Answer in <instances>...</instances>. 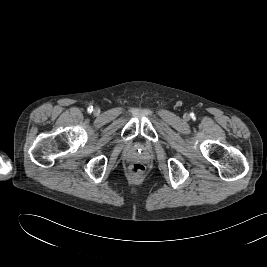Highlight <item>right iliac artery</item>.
<instances>
[{
	"label": "right iliac artery",
	"instance_id": "82829eb1",
	"mask_svg": "<svg viewBox=\"0 0 267 267\" xmlns=\"http://www.w3.org/2000/svg\"><path fill=\"white\" fill-rule=\"evenodd\" d=\"M87 110L89 113H91L93 111V106H89Z\"/></svg>",
	"mask_w": 267,
	"mask_h": 267
}]
</instances>
